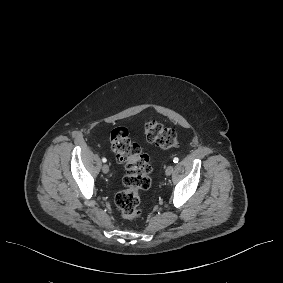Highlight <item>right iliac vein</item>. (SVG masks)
<instances>
[{"label": "right iliac vein", "mask_w": 283, "mask_h": 283, "mask_svg": "<svg viewBox=\"0 0 283 283\" xmlns=\"http://www.w3.org/2000/svg\"><path fill=\"white\" fill-rule=\"evenodd\" d=\"M102 172L105 173V174H107L109 172V166L107 164H104L102 166Z\"/></svg>", "instance_id": "right-iliac-vein-1"}]
</instances>
